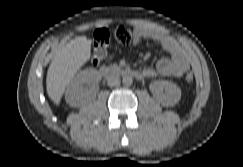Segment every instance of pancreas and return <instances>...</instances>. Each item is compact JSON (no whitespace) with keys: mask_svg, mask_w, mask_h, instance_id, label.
<instances>
[{"mask_svg":"<svg viewBox=\"0 0 243 167\" xmlns=\"http://www.w3.org/2000/svg\"><path fill=\"white\" fill-rule=\"evenodd\" d=\"M113 67L118 68V65L117 64H113Z\"/></svg>","mask_w":243,"mask_h":167,"instance_id":"obj_1","label":"pancreas"}]
</instances>
